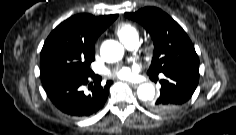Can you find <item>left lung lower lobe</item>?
I'll return each mask as SVG.
<instances>
[{
    "mask_svg": "<svg viewBox=\"0 0 236 135\" xmlns=\"http://www.w3.org/2000/svg\"><path fill=\"white\" fill-rule=\"evenodd\" d=\"M160 80V95L150 104L152 110L170 113L184 105L193 95L199 81V61L193 60L184 67H175L163 72ZM155 77L157 74H149Z\"/></svg>",
    "mask_w": 236,
    "mask_h": 135,
    "instance_id": "obj_1",
    "label": "left lung lower lobe"
}]
</instances>
